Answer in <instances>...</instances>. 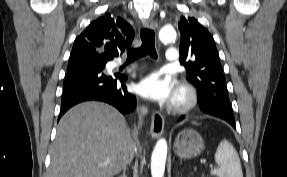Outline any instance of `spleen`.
<instances>
[{"instance_id":"spleen-1","label":"spleen","mask_w":287,"mask_h":177,"mask_svg":"<svg viewBox=\"0 0 287 177\" xmlns=\"http://www.w3.org/2000/svg\"><path fill=\"white\" fill-rule=\"evenodd\" d=\"M215 162L219 165L211 173L217 177H243L241 162L233 145L222 140L214 155Z\"/></svg>"}]
</instances>
